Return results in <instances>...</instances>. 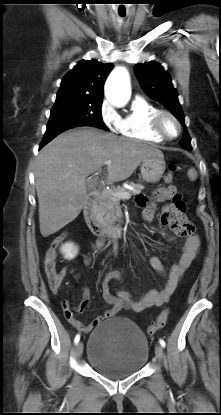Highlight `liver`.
Returning <instances> with one entry per match:
<instances>
[{
  "mask_svg": "<svg viewBox=\"0 0 221 415\" xmlns=\"http://www.w3.org/2000/svg\"><path fill=\"white\" fill-rule=\"evenodd\" d=\"M163 156L156 147L92 127H80L57 136L38 154L35 186L40 232L56 233L72 222L87 201L85 178L101 171L105 161L106 183L129 178L145 159ZM164 157V156H163Z\"/></svg>",
  "mask_w": 221,
  "mask_h": 415,
  "instance_id": "obj_1",
  "label": "liver"
}]
</instances>
